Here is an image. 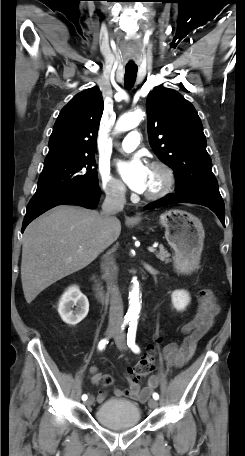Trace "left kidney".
I'll return each mask as SVG.
<instances>
[{
    "instance_id": "5707ae66",
    "label": "left kidney",
    "mask_w": 245,
    "mask_h": 456,
    "mask_svg": "<svg viewBox=\"0 0 245 456\" xmlns=\"http://www.w3.org/2000/svg\"><path fill=\"white\" fill-rule=\"evenodd\" d=\"M171 299L173 307L178 311H183L190 302L189 293L184 290H175L171 295Z\"/></svg>"
}]
</instances>
